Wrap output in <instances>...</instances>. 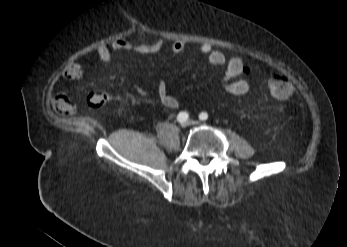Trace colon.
<instances>
[{"label":"colon","instance_id":"5ec220e1","mask_svg":"<svg viewBox=\"0 0 347 247\" xmlns=\"http://www.w3.org/2000/svg\"><path fill=\"white\" fill-rule=\"evenodd\" d=\"M292 84L283 74H276L268 81L269 93L278 99H286L292 94ZM88 103L93 108H100L108 101V96L102 91L91 92L87 98Z\"/></svg>","mask_w":347,"mask_h":247}]
</instances>
